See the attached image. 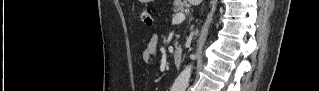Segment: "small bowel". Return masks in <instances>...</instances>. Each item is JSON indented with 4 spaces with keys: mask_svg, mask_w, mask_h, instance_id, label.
<instances>
[{
    "mask_svg": "<svg viewBox=\"0 0 319 91\" xmlns=\"http://www.w3.org/2000/svg\"><path fill=\"white\" fill-rule=\"evenodd\" d=\"M158 35L153 34L149 38L147 42V46L142 52V61L146 64H152L155 61V55H156V50H157V45H158Z\"/></svg>",
    "mask_w": 319,
    "mask_h": 91,
    "instance_id": "obj_1",
    "label": "small bowel"
}]
</instances>
